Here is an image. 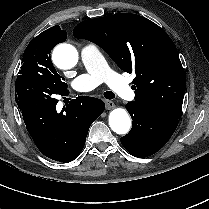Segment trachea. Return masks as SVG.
Masks as SVG:
<instances>
[{"mask_svg":"<svg viewBox=\"0 0 209 209\" xmlns=\"http://www.w3.org/2000/svg\"><path fill=\"white\" fill-rule=\"evenodd\" d=\"M104 97H105L106 99H113V98L115 97V94H114L112 91H106V92L104 93Z\"/></svg>","mask_w":209,"mask_h":209,"instance_id":"3493384b","label":"trachea"}]
</instances>
